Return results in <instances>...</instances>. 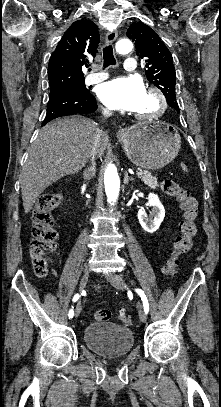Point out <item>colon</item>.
<instances>
[{
    "label": "colon",
    "instance_id": "colon-1",
    "mask_svg": "<svg viewBox=\"0 0 221 407\" xmlns=\"http://www.w3.org/2000/svg\"><path fill=\"white\" fill-rule=\"evenodd\" d=\"M163 192L175 198L181 208L182 217L178 224V235L175 239L174 249L164 265V273L172 277L177 271L179 259L187 254L192 247L193 238L196 234V218L198 216V202L187 190L171 179H164L161 183ZM59 194L42 195L33 211L32 240L30 254L33 259L36 275L44 277L48 273V255L55 250L57 232L53 228L54 218L52 211L60 204ZM112 317L109 310H98L94 318L97 321L106 322ZM120 320L129 324V318L125 312H120Z\"/></svg>",
    "mask_w": 221,
    "mask_h": 407
}]
</instances>
